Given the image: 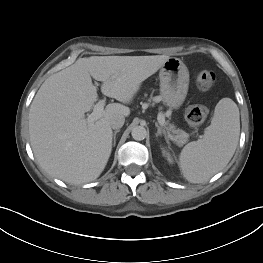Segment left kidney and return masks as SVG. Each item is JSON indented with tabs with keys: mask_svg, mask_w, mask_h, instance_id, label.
<instances>
[{
	"mask_svg": "<svg viewBox=\"0 0 263 263\" xmlns=\"http://www.w3.org/2000/svg\"><path fill=\"white\" fill-rule=\"evenodd\" d=\"M163 155H164L165 157H167V160H168L169 162H172L171 156H170V154H169L168 152H166L165 150H163Z\"/></svg>",
	"mask_w": 263,
	"mask_h": 263,
	"instance_id": "1",
	"label": "left kidney"
}]
</instances>
